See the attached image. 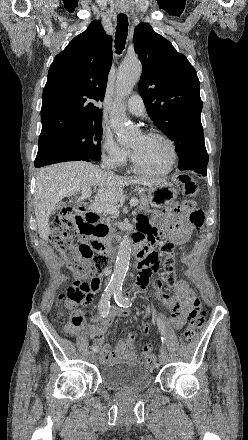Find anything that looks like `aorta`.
I'll use <instances>...</instances> for the list:
<instances>
[{"label":"aorta","instance_id":"762f6f07","mask_svg":"<svg viewBox=\"0 0 248 440\" xmlns=\"http://www.w3.org/2000/svg\"><path fill=\"white\" fill-rule=\"evenodd\" d=\"M141 73L142 65L138 59L124 60L118 70L116 106L111 114L110 122L118 137V142L122 145L130 144L137 134V129L128 122L122 103L132 92L140 79ZM130 255L131 242L127 236H124L118 249L114 272L110 280L109 286L111 288H121L129 267Z\"/></svg>","mask_w":248,"mask_h":440}]
</instances>
